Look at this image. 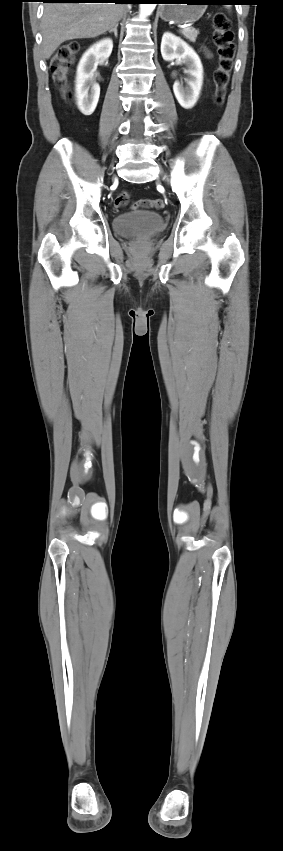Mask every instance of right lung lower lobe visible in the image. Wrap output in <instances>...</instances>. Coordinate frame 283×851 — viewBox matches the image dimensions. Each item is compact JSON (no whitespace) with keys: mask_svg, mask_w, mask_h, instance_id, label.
<instances>
[{"mask_svg":"<svg viewBox=\"0 0 283 851\" xmlns=\"http://www.w3.org/2000/svg\"><path fill=\"white\" fill-rule=\"evenodd\" d=\"M46 2H79V3H121V4H136L142 0H44Z\"/></svg>","mask_w":283,"mask_h":851,"instance_id":"1","label":"right lung lower lobe"}]
</instances>
